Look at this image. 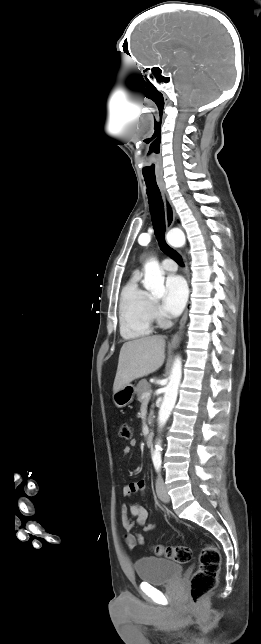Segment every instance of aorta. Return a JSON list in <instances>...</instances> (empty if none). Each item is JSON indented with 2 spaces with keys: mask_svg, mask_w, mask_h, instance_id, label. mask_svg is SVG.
<instances>
[{
  "mask_svg": "<svg viewBox=\"0 0 261 644\" xmlns=\"http://www.w3.org/2000/svg\"><path fill=\"white\" fill-rule=\"evenodd\" d=\"M184 235L182 232L171 231L168 234V240L171 244H178L184 241ZM145 275L143 286L146 290L151 292L152 295L161 297L165 293L164 286V276L163 271L160 268L158 261L155 258L148 260L144 266ZM182 377V363L181 358L177 357L173 363L171 374L169 377V383L166 386L165 394L163 401L158 413V424L160 428H163L166 424L172 409L174 408L178 387ZM161 441L159 440L155 445V450L153 451V458L161 457Z\"/></svg>",
  "mask_w": 261,
  "mask_h": 644,
  "instance_id": "aorta-1",
  "label": "aorta"
}]
</instances>
